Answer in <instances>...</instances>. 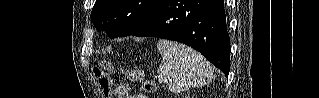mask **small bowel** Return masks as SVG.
<instances>
[{
	"instance_id": "c3829d8e",
	"label": "small bowel",
	"mask_w": 319,
	"mask_h": 98,
	"mask_svg": "<svg viewBox=\"0 0 319 98\" xmlns=\"http://www.w3.org/2000/svg\"><path fill=\"white\" fill-rule=\"evenodd\" d=\"M129 91H130V87H129V85H127L125 83H118L114 87V94L118 98H131L132 96H130ZM137 98H143V97L137 96Z\"/></svg>"
}]
</instances>
